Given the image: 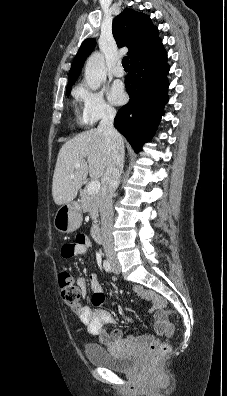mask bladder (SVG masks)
<instances>
[{"mask_svg": "<svg viewBox=\"0 0 227 396\" xmlns=\"http://www.w3.org/2000/svg\"><path fill=\"white\" fill-rule=\"evenodd\" d=\"M84 352L91 365L106 368L114 372L130 371L138 362V358L134 354L118 353L96 344L86 345Z\"/></svg>", "mask_w": 227, "mask_h": 396, "instance_id": "bladder-1", "label": "bladder"}]
</instances>
